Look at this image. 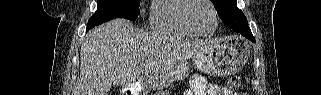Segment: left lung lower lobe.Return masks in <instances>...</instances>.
<instances>
[{
	"instance_id": "1",
	"label": "left lung lower lobe",
	"mask_w": 321,
	"mask_h": 95,
	"mask_svg": "<svg viewBox=\"0 0 321 95\" xmlns=\"http://www.w3.org/2000/svg\"><path fill=\"white\" fill-rule=\"evenodd\" d=\"M236 33L241 34L242 36L248 38L249 40H251V41H253V42L255 41V39H254V37H253V35H252V33H251L250 28L241 29V30H239V31L236 32Z\"/></svg>"
}]
</instances>
